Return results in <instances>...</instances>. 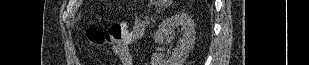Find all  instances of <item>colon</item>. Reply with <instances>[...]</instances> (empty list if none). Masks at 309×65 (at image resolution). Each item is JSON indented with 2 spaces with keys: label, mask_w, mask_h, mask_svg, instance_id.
<instances>
[{
  "label": "colon",
  "mask_w": 309,
  "mask_h": 65,
  "mask_svg": "<svg viewBox=\"0 0 309 65\" xmlns=\"http://www.w3.org/2000/svg\"><path fill=\"white\" fill-rule=\"evenodd\" d=\"M127 31L126 24L117 22L104 28H89L86 31V37L93 46L103 47L120 42Z\"/></svg>",
  "instance_id": "5ec220e1"
}]
</instances>
